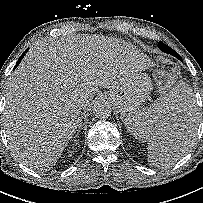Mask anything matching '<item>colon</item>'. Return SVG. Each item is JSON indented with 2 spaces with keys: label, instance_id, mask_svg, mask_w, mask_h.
I'll return each instance as SVG.
<instances>
[{
  "label": "colon",
  "instance_id": "5ec220e1",
  "mask_svg": "<svg viewBox=\"0 0 203 203\" xmlns=\"http://www.w3.org/2000/svg\"><path fill=\"white\" fill-rule=\"evenodd\" d=\"M177 78V71L174 63L169 59L158 61L156 79L160 91H166Z\"/></svg>",
  "mask_w": 203,
  "mask_h": 203
}]
</instances>
